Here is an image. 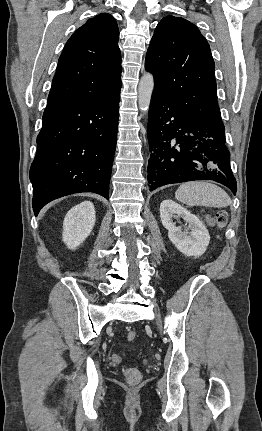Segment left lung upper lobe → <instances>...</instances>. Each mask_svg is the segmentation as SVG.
<instances>
[{
    "label": "left lung upper lobe",
    "instance_id": "1",
    "mask_svg": "<svg viewBox=\"0 0 262 431\" xmlns=\"http://www.w3.org/2000/svg\"><path fill=\"white\" fill-rule=\"evenodd\" d=\"M145 68L154 90L207 128L224 126L217 103L215 64L198 28L181 17H164L148 48Z\"/></svg>",
    "mask_w": 262,
    "mask_h": 431
}]
</instances>
